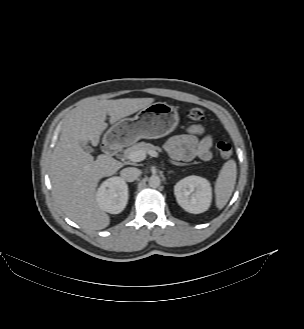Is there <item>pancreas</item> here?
Here are the masks:
<instances>
[{
  "mask_svg": "<svg viewBox=\"0 0 304 329\" xmlns=\"http://www.w3.org/2000/svg\"><path fill=\"white\" fill-rule=\"evenodd\" d=\"M138 150H143V151H149V150H161L159 147L154 146L150 143H146V142H139L136 143L134 145H132L131 147L127 148L124 150V155L127 157V155L133 151H138Z\"/></svg>",
  "mask_w": 304,
  "mask_h": 329,
  "instance_id": "cf45deb5",
  "label": "pancreas"
}]
</instances>
